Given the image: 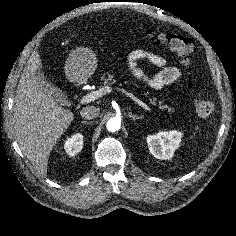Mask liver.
I'll use <instances>...</instances> for the list:
<instances>
[{"label":"liver","instance_id":"6515ba94","mask_svg":"<svg viewBox=\"0 0 236 236\" xmlns=\"http://www.w3.org/2000/svg\"><path fill=\"white\" fill-rule=\"evenodd\" d=\"M41 67L39 53L33 52L17 85L13 115L20 149L37 173L44 177L50 152L73 121L74 114L43 92L36 79Z\"/></svg>","mask_w":236,"mask_h":236}]
</instances>
